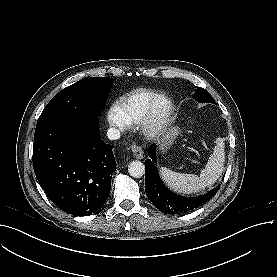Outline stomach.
<instances>
[{
    "label": "stomach",
    "instance_id": "obj_1",
    "mask_svg": "<svg viewBox=\"0 0 277 277\" xmlns=\"http://www.w3.org/2000/svg\"><path fill=\"white\" fill-rule=\"evenodd\" d=\"M179 134V129L177 127H172L169 129L167 134L163 137L161 143H160V151L166 152V150L169 148V146L172 143V140Z\"/></svg>",
    "mask_w": 277,
    "mask_h": 277
}]
</instances>
